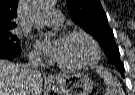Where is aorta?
Segmentation results:
<instances>
[{
  "mask_svg": "<svg viewBox=\"0 0 135 95\" xmlns=\"http://www.w3.org/2000/svg\"><path fill=\"white\" fill-rule=\"evenodd\" d=\"M53 6V0H33V11L37 15H41ZM42 28V27H41ZM40 30V27H39ZM48 36H50L48 34Z\"/></svg>",
  "mask_w": 135,
  "mask_h": 95,
  "instance_id": "762f6f07",
  "label": "aorta"
}]
</instances>
